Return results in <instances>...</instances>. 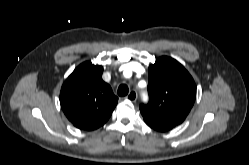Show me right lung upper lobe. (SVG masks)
I'll return each instance as SVG.
<instances>
[{
	"label": "right lung upper lobe",
	"mask_w": 249,
	"mask_h": 165,
	"mask_svg": "<svg viewBox=\"0 0 249 165\" xmlns=\"http://www.w3.org/2000/svg\"><path fill=\"white\" fill-rule=\"evenodd\" d=\"M103 67L91 62L80 64L66 79L60 92L63 112L74 126L94 130L111 116L118 98L102 80Z\"/></svg>",
	"instance_id": "1"
}]
</instances>
